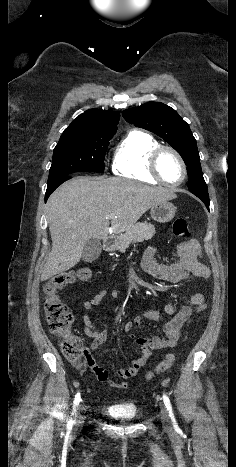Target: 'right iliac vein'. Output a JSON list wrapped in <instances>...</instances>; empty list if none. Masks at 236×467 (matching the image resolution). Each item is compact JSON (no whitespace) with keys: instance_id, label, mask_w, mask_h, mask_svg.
<instances>
[{"instance_id":"obj_1","label":"right iliac vein","mask_w":236,"mask_h":467,"mask_svg":"<svg viewBox=\"0 0 236 467\" xmlns=\"http://www.w3.org/2000/svg\"><path fill=\"white\" fill-rule=\"evenodd\" d=\"M84 410V406L83 405H80L78 407V413L76 415V418H75V424L76 425H80L83 421H84V417L83 415L81 414V412Z\"/></svg>"}]
</instances>
